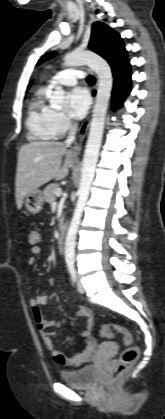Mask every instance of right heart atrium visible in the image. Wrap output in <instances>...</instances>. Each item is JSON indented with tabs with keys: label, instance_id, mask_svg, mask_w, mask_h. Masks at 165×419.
I'll use <instances>...</instances> for the list:
<instances>
[{
	"label": "right heart atrium",
	"instance_id": "1",
	"mask_svg": "<svg viewBox=\"0 0 165 419\" xmlns=\"http://www.w3.org/2000/svg\"><path fill=\"white\" fill-rule=\"evenodd\" d=\"M53 124L58 136L65 134L73 127V123L67 115L59 111L53 113Z\"/></svg>",
	"mask_w": 165,
	"mask_h": 419
}]
</instances>
